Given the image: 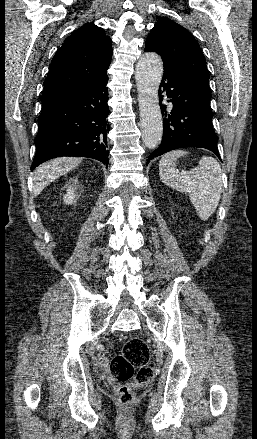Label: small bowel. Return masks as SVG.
<instances>
[{"label":"small bowel","instance_id":"obj_1","mask_svg":"<svg viewBox=\"0 0 257 439\" xmlns=\"http://www.w3.org/2000/svg\"><path fill=\"white\" fill-rule=\"evenodd\" d=\"M101 363H104V360H101Z\"/></svg>","mask_w":257,"mask_h":439}]
</instances>
